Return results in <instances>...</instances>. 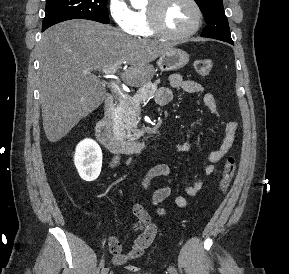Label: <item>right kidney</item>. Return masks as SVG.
Segmentation results:
<instances>
[{
    "instance_id": "ca27d5eb",
    "label": "right kidney",
    "mask_w": 289,
    "mask_h": 274,
    "mask_svg": "<svg viewBox=\"0 0 289 274\" xmlns=\"http://www.w3.org/2000/svg\"><path fill=\"white\" fill-rule=\"evenodd\" d=\"M74 164L79 176L85 181L98 178L102 167V151L92 139H84L75 150Z\"/></svg>"
}]
</instances>
